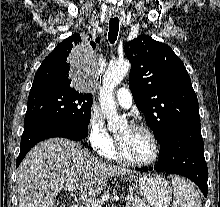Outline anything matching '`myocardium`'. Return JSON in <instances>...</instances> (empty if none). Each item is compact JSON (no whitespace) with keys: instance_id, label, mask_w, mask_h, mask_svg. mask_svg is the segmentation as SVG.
<instances>
[{"instance_id":"1","label":"myocardium","mask_w":220,"mask_h":207,"mask_svg":"<svg viewBox=\"0 0 220 207\" xmlns=\"http://www.w3.org/2000/svg\"><path fill=\"white\" fill-rule=\"evenodd\" d=\"M131 127L134 129L141 130L148 135L153 145V153L149 159L144 160V161L131 160L124 154L121 144L119 140L116 138L115 149H114L116 157L123 163L130 165V166H135V167H145V166L153 164L157 160L159 153H160L159 141L155 133L152 131L150 127L144 124H134Z\"/></svg>"}]
</instances>
